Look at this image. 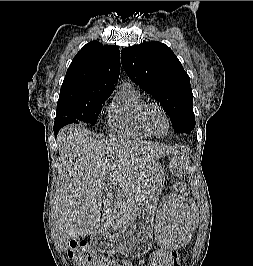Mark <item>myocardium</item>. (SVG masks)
I'll list each match as a JSON object with an SVG mask.
<instances>
[{
  "instance_id": "obj_1",
  "label": "myocardium",
  "mask_w": 253,
  "mask_h": 266,
  "mask_svg": "<svg viewBox=\"0 0 253 266\" xmlns=\"http://www.w3.org/2000/svg\"><path fill=\"white\" fill-rule=\"evenodd\" d=\"M151 108H156L158 110H160L162 112V114L165 116L166 118V121H167V124H168V127H167V131L164 135H156L155 133L152 132V130L150 129L148 123H147V113L149 111V109ZM139 119H140V123H141V126L143 127V129L152 137H155V138H163L165 137L169 131H170V128H171V120H170V117L167 113V111L163 108V106H161L160 104L158 103H154V102H150V103H145L142 108H141V111H140V115H139Z\"/></svg>"
}]
</instances>
